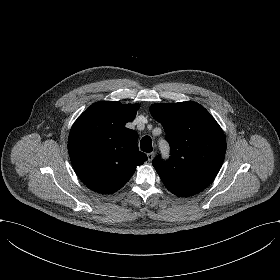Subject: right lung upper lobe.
<instances>
[{"label":"right lung upper lobe","instance_id":"right-lung-upper-lobe-1","mask_svg":"<svg viewBox=\"0 0 280 280\" xmlns=\"http://www.w3.org/2000/svg\"><path fill=\"white\" fill-rule=\"evenodd\" d=\"M138 104L100 101L92 104L73 124L68 152L73 168L91 190L112 194L122 188L136 167L146 160L138 149L136 131L125 127Z\"/></svg>","mask_w":280,"mask_h":280}]
</instances>
